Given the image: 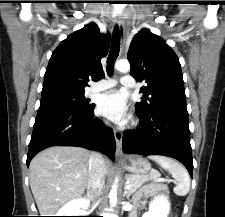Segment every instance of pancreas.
Returning <instances> with one entry per match:
<instances>
[{
	"label": "pancreas",
	"mask_w": 225,
	"mask_h": 217,
	"mask_svg": "<svg viewBox=\"0 0 225 217\" xmlns=\"http://www.w3.org/2000/svg\"><path fill=\"white\" fill-rule=\"evenodd\" d=\"M153 179V173L147 174V175H139V174H133V175H127L126 180L129 185H131V188L126 191L127 195L133 194L138 188H140L145 182H148L149 180ZM159 189L164 191L167 195L169 194L168 188L166 185H160Z\"/></svg>",
	"instance_id": "cf45deb5"
}]
</instances>
